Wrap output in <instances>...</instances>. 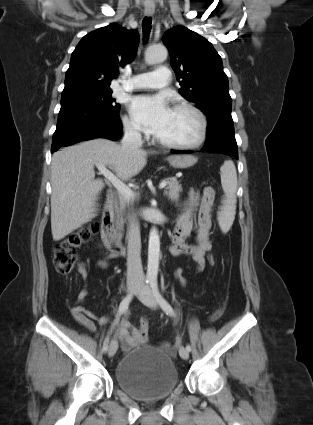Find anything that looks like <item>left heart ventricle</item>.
<instances>
[{"label": "left heart ventricle", "instance_id": "1", "mask_svg": "<svg viewBox=\"0 0 313 425\" xmlns=\"http://www.w3.org/2000/svg\"><path fill=\"white\" fill-rule=\"evenodd\" d=\"M199 133V121L195 115L185 110H172L170 117L157 134L159 139L174 143L193 142Z\"/></svg>", "mask_w": 313, "mask_h": 425}]
</instances>
